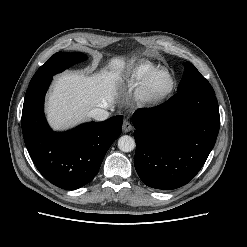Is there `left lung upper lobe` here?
Segmentation results:
<instances>
[{"label": "left lung upper lobe", "instance_id": "left-lung-upper-lobe-1", "mask_svg": "<svg viewBox=\"0 0 247 247\" xmlns=\"http://www.w3.org/2000/svg\"><path fill=\"white\" fill-rule=\"evenodd\" d=\"M183 66L185 67V71L178 86L179 91L189 87L213 89L210 83L199 73L193 64L184 62Z\"/></svg>", "mask_w": 247, "mask_h": 247}]
</instances>
